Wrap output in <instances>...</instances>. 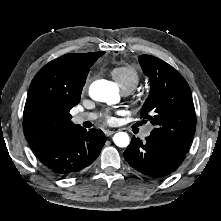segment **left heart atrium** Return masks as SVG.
<instances>
[{
  "label": "left heart atrium",
  "instance_id": "1",
  "mask_svg": "<svg viewBox=\"0 0 221 221\" xmlns=\"http://www.w3.org/2000/svg\"><path fill=\"white\" fill-rule=\"evenodd\" d=\"M105 118H106V121H107L108 123H113V122H114V118H113L111 115H109V114H107V115L105 116Z\"/></svg>",
  "mask_w": 221,
  "mask_h": 221
}]
</instances>
